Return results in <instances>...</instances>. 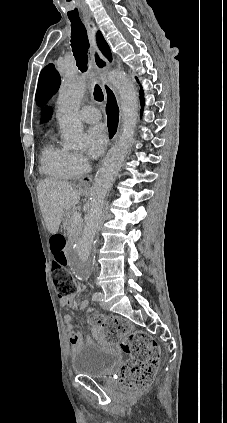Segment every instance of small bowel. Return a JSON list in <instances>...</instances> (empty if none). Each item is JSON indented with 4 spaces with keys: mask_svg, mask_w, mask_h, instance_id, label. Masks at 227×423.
I'll return each mask as SVG.
<instances>
[{
    "mask_svg": "<svg viewBox=\"0 0 227 423\" xmlns=\"http://www.w3.org/2000/svg\"><path fill=\"white\" fill-rule=\"evenodd\" d=\"M75 300V294L69 297H61L60 299V305L61 306H71L73 305ZM80 307L81 308H86L87 307V302L82 301L80 302ZM64 323L66 326V329L69 333V342L72 345L73 348L78 347L81 343H82V336L79 332H74L73 331V324H72V316L70 314H66L64 316ZM92 335L93 337L98 340V341H104V333L103 331L98 328L95 327L92 329Z\"/></svg>",
    "mask_w": 227,
    "mask_h": 423,
    "instance_id": "1",
    "label": "small bowel"
}]
</instances>
